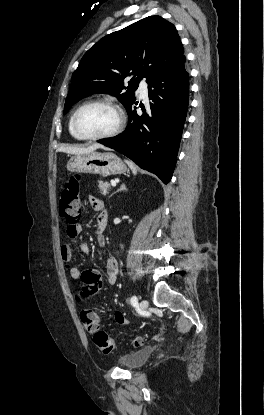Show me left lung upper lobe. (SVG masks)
<instances>
[{"label": "left lung upper lobe", "mask_w": 264, "mask_h": 415, "mask_svg": "<svg viewBox=\"0 0 264 415\" xmlns=\"http://www.w3.org/2000/svg\"><path fill=\"white\" fill-rule=\"evenodd\" d=\"M183 54L175 26L160 16L146 17L105 36L85 53L74 71L64 114L94 93L116 96L127 110L136 101L133 91L140 80L146 78L148 83ZM128 76L132 78L125 87L123 80Z\"/></svg>", "instance_id": "1"}]
</instances>
